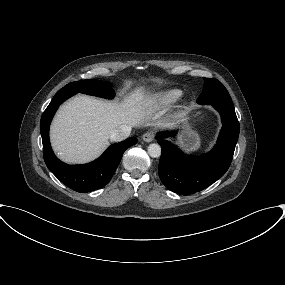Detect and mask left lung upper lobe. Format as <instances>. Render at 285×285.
Masks as SVG:
<instances>
[{
  "label": "left lung upper lobe",
  "mask_w": 285,
  "mask_h": 285,
  "mask_svg": "<svg viewBox=\"0 0 285 285\" xmlns=\"http://www.w3.org/2000/svg\"><path fill=\"white\" fill-rule=\"evenodd\" d=\"M198 104H221L233 107L231 97L224 85L216 79L204 78V88L197 99Z\"/></svg>",
  "instance_id": "5c2ea615"
}]
</instances>
